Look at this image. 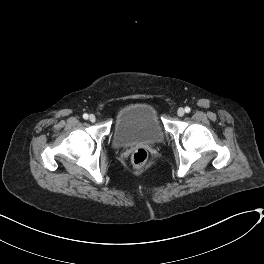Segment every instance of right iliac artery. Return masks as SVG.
I'll list each match as a JSON object with an SVG mask.
<instances>
[{
  "mask_svg": "<svg viewBox=\"0 0 264 264\" xmlns=\"http://www.w3.org/2000/svg\"><path fill=\"white\" fill-rule=\"evenodd\" d=\"M83 118H84L85 120L88 119V114H87V113L83 114Z\"/></svg>",
  "mask_w": 264,
  "mask_h": 264,
  "instance_id": "right-iliac-artery-1",
  "label": "right iliac artery"
}]
</instances>
